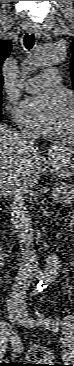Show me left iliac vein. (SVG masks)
Segmentation results:
<instances>
[{
    "mask_svg": "<svg viewBox=\"0 0 74 366\" xmlns=\"http://www.w3.org/2000/svg\"><path fill=\"white\" fill-rule=\"evenodd\" d=\"M20 324L22 325H26V326H29V327H35V325L32 323V321L28 318V315H27V312L26 311H22L21 313V319L19 321ZM38 326V324H37ZM71 356L69 354V352H64V355H63V359L64 360H70Z\"/></svg>",
    "mask_w": 74,
    "mask_h": 366,
    "instance_id": "4c4485c4",
    "label": "left iliac vein"
}]
</instances>
